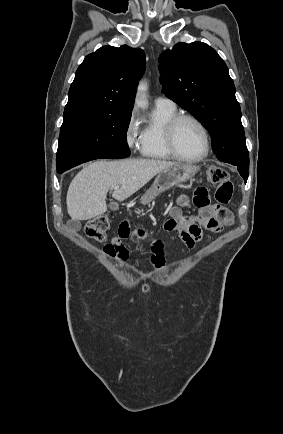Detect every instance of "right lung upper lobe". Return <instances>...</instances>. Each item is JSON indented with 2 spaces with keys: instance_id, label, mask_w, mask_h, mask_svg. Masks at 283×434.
<instances>
[{
  "instance_id": "1",
  "label": "right lung upper lobe",
  "mask_w": 283,
  "mask_h": 434,
  "mask_svg": "<svg viewBox=\"0 0 283 434\" xmlns=\"http://www.w3.org/2000/svg\"><path fill=\"white\" fill-rule=\"evenodd\" d=\"M145 54L127 45L103 46L87 55L69 89L64 117L131 113Z\"/></svg>"
}]
</instances>
